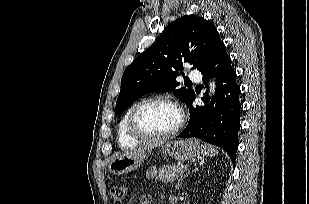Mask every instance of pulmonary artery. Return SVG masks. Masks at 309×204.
<instances>
[{
	"label": "pulmonary artery",
	"mask_w": 309,
	"mask_h": 204,
	"mask_svg": "<svg viewBox=\"0 0 309 204\" xmlns=\"http://www.w3.org/2000/svg\"><path fill=\"white\" fill-rule=\"evenodd\" d=\"M189 78L192 81H200L202 78L201 72L198 70H193L189 73Z\"/></svg>",
	"instance_id": "obj_1"
}]
</instances>
